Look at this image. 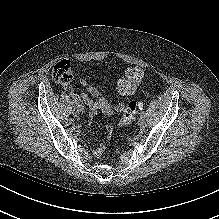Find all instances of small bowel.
<instances>
[{"instance_id":"c3829d8e","label":"small bowel","mask_w":219,"mask_h":219,"mask_svg":"<svg viewBox=\"0 0 219 219\" xmlns=\"http://www.w3.org/2000/svg\"><path fill=\"white\" fill-rule=\"evenodd\" d=\"M81 84L86 87L90 92H93L94 89L89 85V83L86 81V80H82L81 81ZM67 91L68 93L70 94V96L78 101H82L84 102L86 105H88L90 107L91 110H97V109H100L101 106L105 103L104 101L102 100H94L92 98H90L89 96L85 95V94H77L73 87L72 86H68L67 87ZM102 149L101 147L96 149L94 151V155H99L101 153Z\"/></svg>"}]
</instances>
